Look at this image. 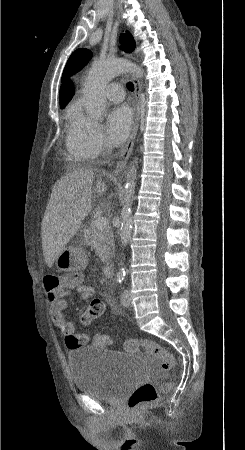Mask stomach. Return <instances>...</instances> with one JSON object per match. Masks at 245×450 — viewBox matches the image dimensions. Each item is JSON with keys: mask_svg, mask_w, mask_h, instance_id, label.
I'll return each mask as SVG.
<instances>
[{"mask_svg": "<svg viewBox=\"0 0 245 450\" xmlns=\"http://www.w3.org/2000/svg\"><path fill=\"white\" fill-rule=\"evenodd\" d=\"M55 265L60 271H79L86 267L87 256L81 244L65 248L56 258Z\"/></svg>", "mask_w": 245, "mask_h": 450, "instance_id": "1", "label": "stomach"}]
</instances>
